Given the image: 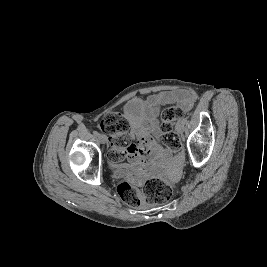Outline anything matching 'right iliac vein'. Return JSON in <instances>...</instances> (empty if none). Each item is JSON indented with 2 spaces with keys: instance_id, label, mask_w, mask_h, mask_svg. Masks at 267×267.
<instances>
[{
  "instance_id": "1",
  "label": "right iliac vein",
  "mask_w": 267,
  "mask_h": 267,
  "mask_svg": "<svg viewBox=\"0 0 267 267\" xmlns=\"http://www.w3.org/2000/svg\"><path fill=\"white\" fill-rule=\"evenodd\" d=\"M99 139H100V141H101L102 144H104L106 142V140H107L106 136L103 135V134H100L99 135Z\"/></svg>"
}]
</instances>
